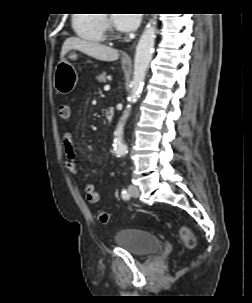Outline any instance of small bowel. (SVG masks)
<instances>
[{
  "mask_svg": "<svg viewBox=\"0 0 252 303\" xmlns=\"http://www.w3.org/2000/svg\"><path fill=\"white\" fill-rule=\"evenodd\" d=\"M62 147L64 150L66 169L72 174H77L78 166L76 161V152L71 134L66 133L63 136ZM83 188L89 203L97 204L101 201V193L95 188L93 183L86 182Z\"/></svg>",
  "mask_w": 252,
  "mask_h": 303,
  "instance_id": "obj_1",
  "label": "small bowel"
}]
</instances>
